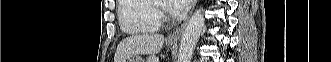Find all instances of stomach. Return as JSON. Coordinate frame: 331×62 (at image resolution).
<instances>
[{"mask_svg": "<svg viewBox=\"0 0 331 62\" xmlns=\"http://www.w3.org/2000/svg\"><path fill=\"white\" fill-rule=\"evenodd\" d=\"M168 44H169L170 46H174V45H175L174 42H169ZM126 62H145V61H144L143 58H141L140 56L133 55V56H131L130 58H128V59L126 60ZM146 62H147V61H146Z\"/></svg>", "mask_w": 331, "mask_h": 62, "instance_id": "obj_1", "label": "stomach"}]
</instances>
